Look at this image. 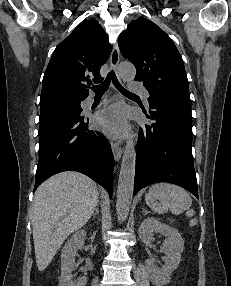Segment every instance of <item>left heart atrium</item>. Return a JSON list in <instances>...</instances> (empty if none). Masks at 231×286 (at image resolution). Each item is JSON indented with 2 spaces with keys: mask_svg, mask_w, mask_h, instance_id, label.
I'll return each instance as SVG.
<instances>
[{
  "mask_svg": "<svg viewBox=\"0 0 231 286\" xmlns=\"http://www.w3.org/2000/svg\"><path fill=\"white\" fill-rule=\"evenodd\" d=\"M97 127L112 138L122 137L127 129V113L124 106L112 105L96 117Z\"/></svg>",
  "mask_w": 231,
  "mask_h": 286,
  "instance_id": "39dd6f15",
  "label": "left heart atrium"
}]
</instances>
